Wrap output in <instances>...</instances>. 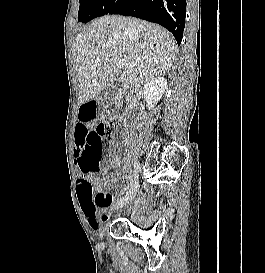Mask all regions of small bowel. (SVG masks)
I'll return each instance as SVG.
<instances>
[{
    "label": "small bowel",
    "mask_w": 265,
    "mask_h": 273,
    "mask_svg": "<svg viewBox=\"0 0 265 273\" xmlns=\"http://www.w3.org/2000/svg\"><path fill=\"white\" fill-rule=\"evenodd\" d=\"M79 123H94L95 114L97 110L94 109L96 107L95 103H80L79 104ZM74 129H91V124H74ZM75 159L76 166L78 171L82 173L80 168V157L75 151ZM111 163L113 166L118 167L120 165V159L118 156H113L111 158ZM84 177H80L78 179V193H79V201L81 205V209L83 214L92 229H98L100 225V219L98 217V212L102 209L108 208L111 205H114V196L112 194L104 192V188L106 187V183L102 180L96 179L94 182V191L91 195L87 196L80 193L81 183ZM106 219V216L103 217V221Z\"/></svg>",
    "instance_id": "obj_1"
}]
</instances>
